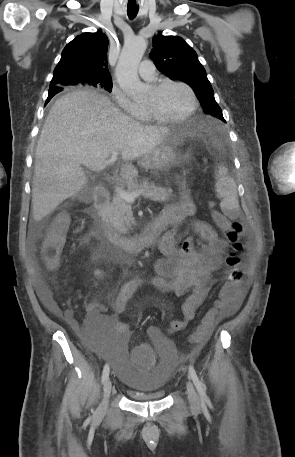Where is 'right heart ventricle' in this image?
Returning a JSON list of instances; mask_svg holds the SVG:
<instances>
[{"label":"right heart ventricle","mask_w":295,"mask_h":457,"mask_svg":"<svg viewBox=\"0 0 295 457\" xmlns=\"http://www.w3.org/2000/svg\"><path fill=\"white\" fill-rule=\"evenodd\" d=\"M138 119L142 122L149 123L152 121V118L149 116L147 113L146 109L144 107H141V113Z\"/></svg>","instance_id":"1"}]
</instances>
